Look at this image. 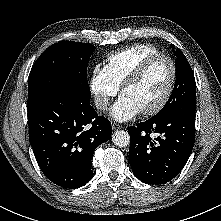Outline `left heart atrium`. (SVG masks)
<instances>
[{"instance_id":"obj_1","label":"left heart atrium","mask_w":221,"mask_h":221,"mask_svg":"<svg viewBox=\"0 0 221 221\" xmlns=\"http://www.w3.org/2000/svg\"><path fill=\"white\" fill-rule=\"evenodd\" d=\"M138 106L123 95L116 101L111 110V116L117 121H127L140 113Z\"/></svg>"}]
</instances>
